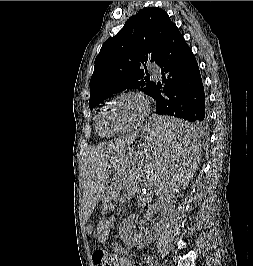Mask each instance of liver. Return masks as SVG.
Masks as SVG:
<instances>
[{
	"instance_id": "6515ba94",
	"label": "liver",
	"mask_w": 253,
	"mask_h": 266,
	"mask_svg": "<svg viewBox=\"0 0 253 266\" xmlns=\"http://www.w3.org/2000/svg\"><path fill=\"white\" fill-rule=\"evenodd\" d=\"M133 139L134 136H129L125 139L98 145L90 150L85 160V176L88 182L85 187V197L89 198L92 208L103 191V172L107 165Z\"/></svg>"
}]
</instances>
